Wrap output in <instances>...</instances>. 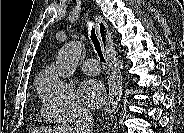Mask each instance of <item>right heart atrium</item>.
Instances as JSON below:
<instances>
[{"mask_svg":"<svg viewBox=\"0 0 184 133\" xmlns=\"http://www.w3.org/2000/svg\"><path fill=\"white\" fill-rule=\"evenodd\" d=\"M39 92L43 103V113L50 120L71 121L86 111L77 98L73 86L60 79L53 71L42 77Z\"/></svg>","mask_w":184,"mask_h":133,"instance_id":"right-heart-atrium-1","label":"right heart atrium"}]
</instances>
